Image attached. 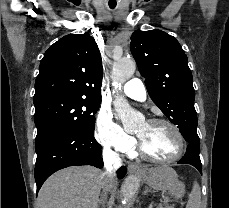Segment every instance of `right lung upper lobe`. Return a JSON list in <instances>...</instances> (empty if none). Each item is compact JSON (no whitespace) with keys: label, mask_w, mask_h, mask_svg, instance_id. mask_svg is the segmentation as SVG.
<instances>
[{"label":"right lung upper lobe","mask_w":229,"mask_h":208,"mask_svg":"<svg viewBox=\"0 0 229 208\" xmlns=\"http://www.w3.org/2000/svg\"><path fill=\"white\" fill-rule=\"evenodd\" d=\"M39 69L34 101L51 95L101 101V54L88 33L58 40L45 52Z\"/></svg>","instance_id":"obj_1"}]
</instances>
